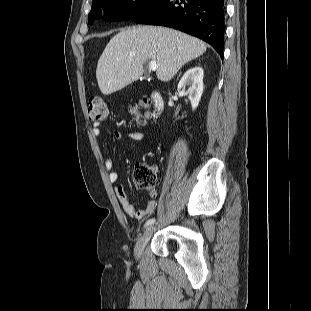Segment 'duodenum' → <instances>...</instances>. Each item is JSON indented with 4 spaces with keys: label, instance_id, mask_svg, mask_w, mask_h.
Listing matches in <instances>:
<instances>
[{
    "label": "duodenum",
    "instance_id": "410a0bca",
    "mask_svg": "<svg viewBox=\"0 0 311 311\" xmlns=\"http://www.w3.org/2000/svg\"><path fill=\"white\" fill-rule=\"evenodd\" d=\"M151 99L153 101L154 107L157 112H161L163 110V99L162 95L158 90H154L151 92Z\"/></svg>",
    "mask_w": 311,
    "mask_h": 311
}]
</instances>
